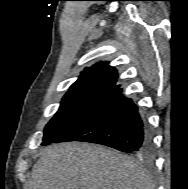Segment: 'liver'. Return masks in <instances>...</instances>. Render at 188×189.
Here are the masks:
<instances>
[{
	"label": "liver",
	"mask_w": 188,
	"mask_h": 189,
	"mask_svg": "<svg viewBox=\"0 0 188 189\" xmlns=\"http://www.w3.org/2000/svg\"><path fill=\"white\" fill-rule=\"evenodd\" d=\"M150 174L128 156L89 143L52 144L25 189H153Z\"/></svg>",
	"instance_id": "liver-1"
}]
</instances>
